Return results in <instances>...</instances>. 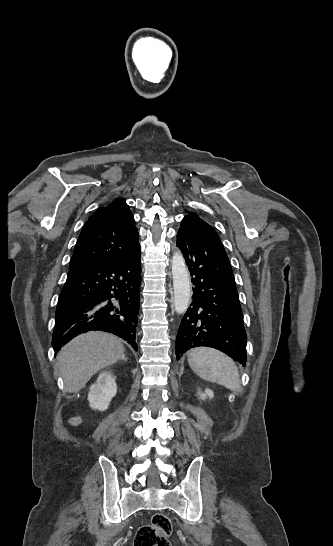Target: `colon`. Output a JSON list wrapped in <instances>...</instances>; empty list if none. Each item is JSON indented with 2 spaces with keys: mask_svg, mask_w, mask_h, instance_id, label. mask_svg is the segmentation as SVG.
<instances>
[{
  "mask_svg": "<svg viewBox=\"0 0 333 546\" xmlns=\"http://www.w3.org/2000/svg\"><path fill=\"white\" fill-rule=\"evenodd\" d=\"M171 532L170 518L162 513L155 514L150 524L144 525L137 530L134 546H170L168 537Z\"/></svg>",
  "mask_w": 333,
  "mask_h": 546,
  "instance_id": "1",
  "label": "colon"
}]
</instances>
